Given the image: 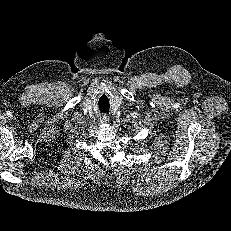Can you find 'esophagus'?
<instances>
[{"mask_svg":"<svg viewBox=\"0 0 231 231\" xmlns=\"http://www.w3.org/2000/svg\"><path fill=\"white\" fill-rule=\"evenodd\" d=\"M99 122L100 123H107L108 122V118L106 117V116H101L100 118H99Z\"/></svg>","mask_w":231,"mask_h":231,"instance_id":"obj_1","label":"esophagus"}]
</instances>
